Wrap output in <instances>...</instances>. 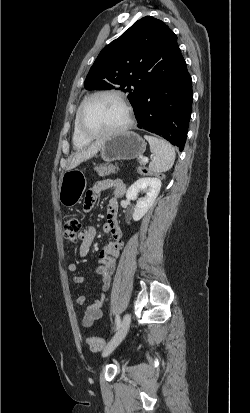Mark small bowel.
<instances>
[{
  "mask_svg": "<svg viewBox=\"0 0 250 413\" xmlns=\"http://www.w3.org/2000/svg\"><path fill=\"white\" fill-rule=\"evenodd\" d=\"M105 190H111V196L107 202V216L103 225V231L108 235L106 244L99 252L97 260L96 273L99 276V287L101 293L92 301L87 302L84 295H79L76 302L80 306H85V314L83 317V326L90 327L94 321L102 317V305L105 299L104 292H106L110 286L112 274L115 269L116 260L120 255L121 250L124 247L122 240V231L117 222V209L118 199L123 196L125 192V184L120 179H108L96 182L92 188L87 192L84 201V211L89 212L97 198ZM96 228L94 226H87L85 229H80L78 232L81 238V244L78 249L80 258H85L91 248L92 242L96 237ZM68 269L71 272H77L78 265L70 263ZM85 276L82 274H76L73 281L76 284H82L85 282ZM97 352L99 350H92Z\"/></svg>",
  "mask_w": 250,
  "mask_h": 413,
  "instance_id": "1",
  "label": "small bowel"
}]
</instances>
